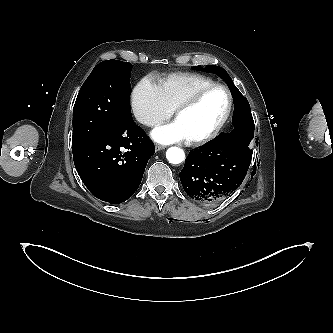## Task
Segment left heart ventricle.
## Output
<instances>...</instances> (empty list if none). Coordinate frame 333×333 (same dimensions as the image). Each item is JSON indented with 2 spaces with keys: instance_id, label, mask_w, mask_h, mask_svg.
I'll return each mask as SVG.
<instances>
[{
  "instance_id": "obj_1",
  "label": "left heart ventricle",
  "mask_w": 333,
  "mask_h": 333,
  "mask_svg": "<svg viewBox=\"0 0 333 333\" xmlns=\"http://www.w3.org/2000/svg\"><path fill=\"white\" fill-rule=\"evenodd\" d=\"M228 97L224 90L208 92L198 104L178 116L176 122L188 139L197 138L210 132L224 116Z\"/></svg>"
}]
</instances>
